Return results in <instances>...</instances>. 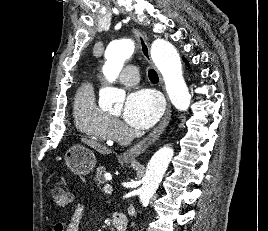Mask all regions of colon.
<instances>
[{
    "mask_svg": "<svg viewBox=\"0 0 268 231\" xmlns=\"http://www.w3.org/2000/svg\"><path fill=\"white\" fill-rule=\"evenodd\" d=\"M52 197L58 208L64 209L70 203V197L68 193L61 188H54L52 190Z\"/></svg>",
    "mask_w": 268,
    "mask_h": 231,
    "instance_id": "obj_1",
    "label": "colon"
}]
</instances>
